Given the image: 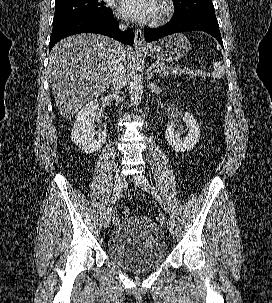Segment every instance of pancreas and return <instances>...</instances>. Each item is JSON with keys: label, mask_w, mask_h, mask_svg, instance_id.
Segmentation results:
<instances>
[{"label": "pancreas", "mask_w": 272, "mask_h": 303, "mask_svg": "<svg viewBox=\"0 0 272 303\" xmlns=\"http://www.w3.org/2000/svg\"><path fill=\"white\" fill-rule=\"evenodd\" d=\"M156 66L159 67L161 69L160 75L163 77H168L170 75V73H173L174 75L177 74H191L192 71L190 69H179L176 68L174 71H172V68L165 64L164 62H157Z\"/></svg>", "instance_id": "pancreas-1"}]
</instances>
